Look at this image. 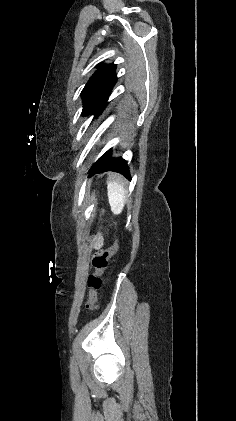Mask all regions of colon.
Wrapping results in <instances>:
<instances>
[{
    "label": "colon",
    "instance_id": "1",
    "mask_svg": "<svg viewBox=\"0 0 236 421\" xmlns=\"http://www.w3.org/2000/svg\"><path fill=\"white\" fill-rule=\"evenodd\" d=\"M119 248V240L115 239L113 245L102 252L95 254L91 261L93 272L88 276L87 286L89 289V298L86 302L87 310H94L97 308V291L102 284V274L107 268L108 260L112 257Z\"/></svg>",
    "mask_w": 236,
    "mask_h": 421
}]
</instances>
